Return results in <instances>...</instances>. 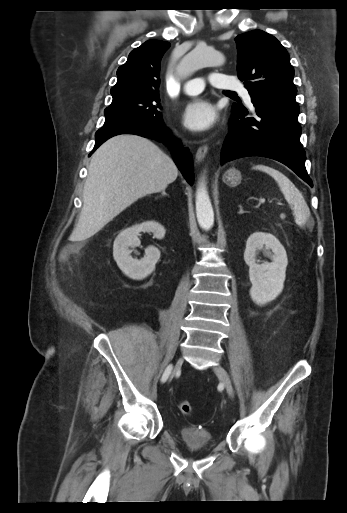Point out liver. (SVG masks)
Wrapping results in <instances>:
<instances>
[{
  "label": "liver",
  "instance_id": "6515ba94",
  "mask_svg": "<svg viewBox=\"0 0 347 513\" xmlns=\"http://www.w3.org/2000/svg\"><path fill=\"white\" fill-rule=\"evenodd\" d=\"M177 175L172 159L151 140L134 134L113 136L92 155L72 238L92 237L139 198L165 190Z\"/></svg>",
  "mask_w": 347,
  "mask_h": 513
}]
</instances>
